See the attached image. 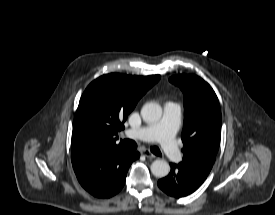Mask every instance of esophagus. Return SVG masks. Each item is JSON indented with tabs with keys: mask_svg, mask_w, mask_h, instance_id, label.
<instances>
[{
	"mask_svg": "<svg viewBox=\"0 0 275 215\" xmlns=\"http://www.w3.org/2000/svg\"><path fill=\"white\" fill-rule=\"evenodd\" d=\"M141 154L147 158H156V156L152 154L149 150H142Z\"/></svg>",
	"mask_w": 275,
	"mask_h": 215,
	"instance_id": "34e87169",
	"label": "esophagus"
}]
</instances>
